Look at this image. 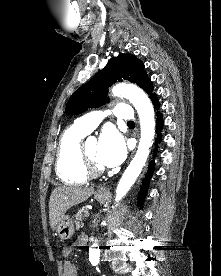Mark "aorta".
<instances>
[{
    "label": "aorta",
    "mask_w": 221,
    "mask_h": 276,
    "mask_svg": "<svg viewBox=\"0 0 221 276\" xmlns=\"http://www.w3.org/2000/svg\"><path fill=\"white\" fill-rule=\"evenodd\" d=\"M112 94L117 97H126L135 107L140 120L141 137L137 152L123 173L117 188L115 201L119 202L130 190L140 175L149 155V149L155 135L154 109L148 96L140 88L118 84L112 88ZM100 249L94 243L89 249V260L96 265L99 262Z\"/></svg>",
    "instance_id": "aorta-1"
}]
</instances>
